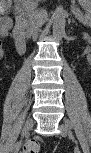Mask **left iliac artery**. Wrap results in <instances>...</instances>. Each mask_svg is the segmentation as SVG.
<instances>
[{
	"label": "left iliac artery",
	"instance_id": "left-iliac-artery-1",
	"mask_svg": "<svg viewBox=\"0 0 91 153\" xmlns=\"http://www.w3.org/2000/svg\"><path fill=\"white\" fill-rule=\"evenodd\" d=\"M67 127V135L69 137L70 143H75V151H73V153H82V151H80V149L78 148V140H75L74 135V129L72 126H70V122L67 121V124L65 125Z\"/></svg>",
	"mask_w": 91,
	"mask_h": 153
}]
</instances>
